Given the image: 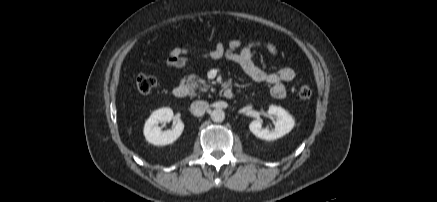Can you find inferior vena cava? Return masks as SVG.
<instances>
[{"instance_id": "inferior-vena-cava-1", "label": "inferior vena cava", "mask_w": 437, "mask_h": 202, "mask_svg": "<svg viewBox=\"0 0 437 202\" xmlns=\"http://www.w3.org/2000/svg\"><path fill=\"white\" fill-rule=\"evenodd\" d=\"M209 104L206 101H194L191 104L190 110L195 116H202L208 109Z\"/></svg>"}]
</instances>
